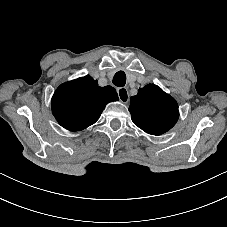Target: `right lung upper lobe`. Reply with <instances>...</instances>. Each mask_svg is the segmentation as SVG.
<instances>
[{
  "instance_id": "obj_1",
  "label": "right lung upper lobe",
  "mask_w": 227,
  "mask_h": 227,
  "mask_svg": "<svg viewBox=\"0 0 227 227\" xmlns=\"http://www.w3.org/2000/svg\"><path fill=\"white\" fill-rule=\"evenodd\" d=\"M118 99L113 87H99L97 80L86 75L57 88L52 97V112L62 127L79 131L94 124L106 104Z\"/></svg>"
}]
</instances>
